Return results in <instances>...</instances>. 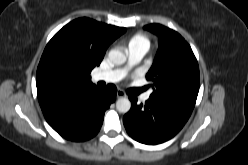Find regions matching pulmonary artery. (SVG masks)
Returning <instances> with one entry per match:
<instances>
[{
	"instance_id": "pulmonary-artery-1",
	"label": "pulmonary artery",
	"mask_w": 248,
	"mask_h": 165,
	"mask_svg": "<svg viewBox=\"0 0 248 165\" xmlns=\"http://www.w3.org/2000/svg\"><path fill=\"white\" fill-rule=\"evenodd\" d=\"M148 51V47L144 45H132L128 47L127 64L124 68L115 69L107 72H99L95 75L96 81H105L108 83L119 82L127 73V70L139 63ZM151 93L147 92L142 95V100L147 101Z\"/></svg>"
}]
</instances>
